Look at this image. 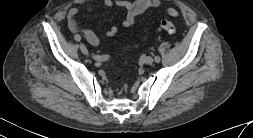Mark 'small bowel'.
Instances as JSON below:
<instances>
[{
  "label": "small bowel",
  "instance_id": "obj_1",
  "mask_svg": "<svg viewBox=\"0 0 253 138\" xmlns=\"http://www.w3.org/2000/svg\"><path fill=\"white\" fill-rule=\"evenodd\" d=\"M104 5L107 7H119L126 11V17L123 20V26L125 28H132L136 23V19L139 15L143 14L148 9H158L161 7L159 0H135L133 2L127 0H103ZM88 12L93 10L92 7H87ZM164 12L171 17H178L179 12L173 7H166ZM80 13V9L73 7L69 9L67 13V22L70 30L73 33H81L84 35L87 42L93 46H98L102 37L112 38L117 35L119 28L114 25L106 30L103 34H97L93 30L82 27L78 21L77 16Z\"/></svg>",
  "mask_w": 253,
  "mask_h": 138
}]
</instances>
